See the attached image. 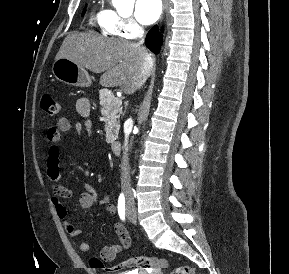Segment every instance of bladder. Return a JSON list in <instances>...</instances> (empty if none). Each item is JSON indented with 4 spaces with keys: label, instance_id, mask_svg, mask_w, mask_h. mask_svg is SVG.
<instances>
[{
    "label": "bladder",
    "instance_id": "bladder-1",
    "mask_svg": "<svg viewBox=\"0 0 289 274\" xmlns=\"http://www.w3.org/2000/svg\"><path fill=\"white\" fill-rule=\"evenodd\" d=\"M118 274H147L145 271H128V272H120Z\"/></svg>",
    "mask_w": 289,
    "mask_h": 274
}]
</instances>
